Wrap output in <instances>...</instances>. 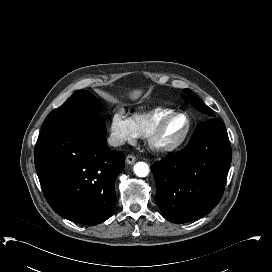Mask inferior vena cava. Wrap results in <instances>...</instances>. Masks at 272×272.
Here are the masks:
<instances>
[{"mask_svg":"<svg viewBox=\"0 0 272 272\" xmlns=\"http://www.w3.org/2000/svg\"><path fill=\"white\" fill-rule=\"evenodd\" d=\"M124 143V139L116 134H111L108 138V144L113 147L122 146Z\"/></svg>","mask_w":272,"mask_h":272,"instance_id":"602c4592","label":"inferior vena cava"}]
</instances>
